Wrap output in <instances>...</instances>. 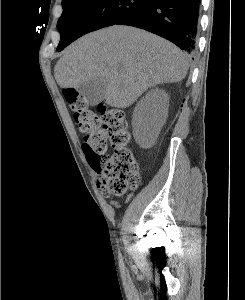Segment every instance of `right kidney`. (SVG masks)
Here are the masks:
<instances>
[{
  "mask_svg": "<svg viewBox=\"0 0 245 300\" xmlns=\"http://www.w3.org/2000/svg\"><path fill=\"white\" fill-rule=\"evenodd\" d=\"M169 96L161 89L149 91L133 112L132 127L135 141L143 148L151 147L168 116Z\"/></svg>",
  "mask_w": 245,
  "mask_h": 300,
  "instance_id": "right-kidney-1",
  "label": "right kidney"
}]
</instances>
